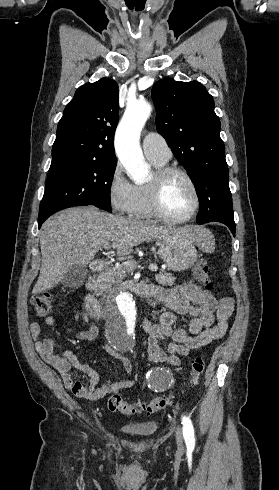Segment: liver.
I'll return each mask as SVG.
<instances>
[{
    "instance_id": "6515ba94",
    "label": "liver",
    "mask_w": 279,
    "mask_h": 490,
    "mask_svg": "<svg viewBox=\"0 0 279 490\" xmlns=\"http://www.w3.org/2000/svg\"><path fill=\"white\" fill-rule=\"evenodd\" d=\"M199 226L168 228L153 226L134 218L112 216L94 206H80L57 212L44 222L41 230V268L32 294L54 288L69 266L91 264L100 248L110 244L118 256H129L141 242L165 240L169 234H181L197 242L200 248Z\"/></svg>"
}]
</instances>
